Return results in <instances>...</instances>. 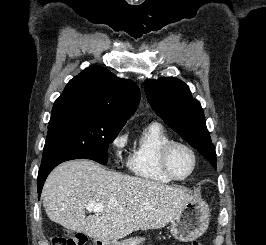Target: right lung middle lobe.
I'll return each instance as SVG.
<instances>
[{
    "instance_id": "obj_1",
    "label": "right lung middle lobe",
    "mask_w": 266,
    "mask_h": 245,
    "mask_svg": "<svg viewBox=\"0 0 266 245\" xmlns=\"http://www.w3.org/2000/svg\"><path fill=\"white\" fill-rule=\"evenodd\" d=\"M126 121L92 111L51 116L42 163L58 157L107 163V149Z\"/></svg>"
}]
</instances>
